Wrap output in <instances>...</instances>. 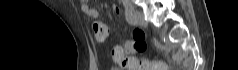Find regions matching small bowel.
<instances>
[{
	"label": "small bowel",
	"mask_w": 238,
	"mask_h": 70,
	"mask_svg": "<svg viewBox=\"0 0 238 70\" xmlns=\"http://www.w3.org/2000/svg\"><path fill=\"white\" fill-rule=\"evenodd\" d=\"M80 4H81V10L85 15L93 19H97L99 17V12L95 8H92L87 3V1L80 0ZM114 10L116 13H119L118 8H115ZM93 31H94L95 38L98 41H104L107 38L109 33L108 27L101 22L94 23ZM130 41L131 40L126 41L123 44L124 54L132 53L136 50L134 46L133 47L131 46L132 44L134 45V40L132 39L133 41L132 43ZM112 54H113V51H112ZM114 60L117 61V59H114Z\"/></svg>",
	"instance_id": "small-bowel-1"
}]
</instances>
